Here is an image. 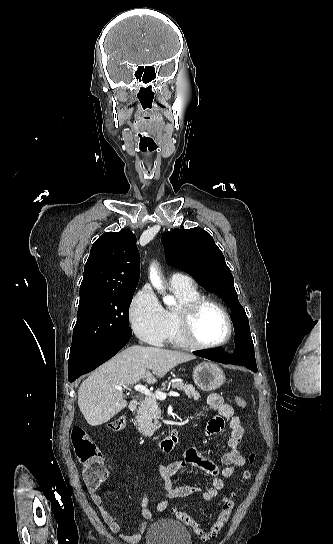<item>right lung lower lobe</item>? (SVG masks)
<instances>
[{
  "instance_id": "obj_1",
  "label": "right lung lower lobe",
  "mask_w": 333,
  "mask_h": 544,
  "mask_svg": "<svg viewBox=\"0 0 333 544\" xmlns=\"http://www.w3.org/2000/svg\"><path fill=\"white\" fill-rule=\"evenodd\" d=\"M132 333L123 332L108 338L90 350L83 358L69 363L68 381L73 382L112 358L130 340Z\"/></svg>"
}]
</instances>
